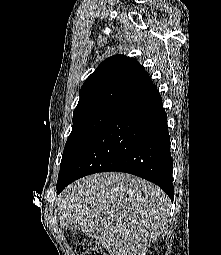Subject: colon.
Returning <instances> with one entry per match:
<instances>
[{
    "label": "colon",
    "mask_w": 221,
    "mask_h": 255,
    "mask_svg": "<svg viewBox=\"0 0 221 255\" xmlns=\"http://www.w3.org/2000/svg\"><path fill=\"white\" fill-rule=\"evenodd\" d=\"M78 255H105L102 249L94 242L80 239L76 248Z\"/></svg>",
    "instance_id": "1"
}]
</instances>
